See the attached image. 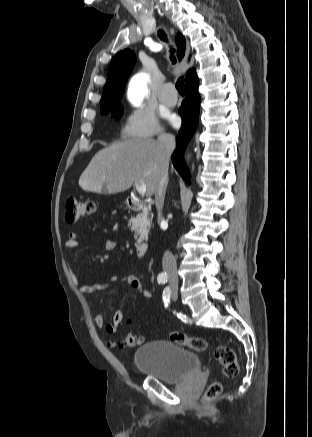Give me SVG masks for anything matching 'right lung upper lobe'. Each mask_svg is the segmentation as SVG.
Here are the masks:
<instances>
[{"mask_svg":"<svg viewBox=\"0 0 312 437\" xmlns=\"http://www.w3.org/2000/svg\"><path fill=\"white\" fill-rule=\"evenodd\" d=\"M176 45L178 58L181 60L186 49L185 39L181 34L177 35ZM135 61V54L130 49H125L115 55L108 71L107 82L100 101L101 113L109 112L121 105L120 100L124 92L125 83L133 70ZM194 75H196L194 69L188 70L185 82Z\"/></svg>","mask_w":312,"mask_h":437,"instance_id":"right-lung-upper-lobe-1","label":"right lung upper lobe"}]
</instances>
